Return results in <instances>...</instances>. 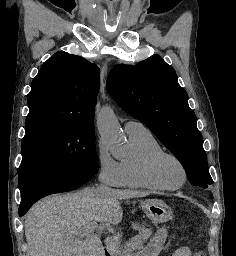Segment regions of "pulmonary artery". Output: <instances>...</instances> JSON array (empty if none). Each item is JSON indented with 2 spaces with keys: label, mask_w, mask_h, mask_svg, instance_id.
<instances>
[{
  "label": "pulmonary artery",
  "mask_w": 236,
  "mask_h": 256,
  "mask_svg": "<svg viewBox=\"0 0 236 256\" xmlns=\"http://www.w3.org/2000/svg\"><path fill=\"white\" fill-rule=\"evenodd\" d=\"M124 130L128 135L148 131L147 128L139 121L129 120L124 124Z\"/></svg>",
  "instance_id": "1"
}]
</instances>
